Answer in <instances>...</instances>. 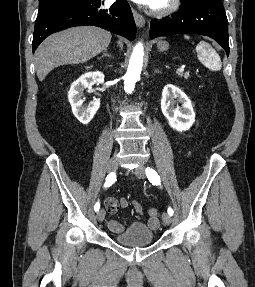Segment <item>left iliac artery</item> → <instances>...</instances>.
Instances as JSON below:
<instances>
[{"instance_id":"left-iliac-artery-1","label":"left iliac artery","mask_w":255,"mask_h":287,"mask_svg":"<svg viewBox=\"0 0 255 287\" xmlns=\"http://www.w3.org/2000/svg\"><path fill=\"white\" fill-rule=\"evenodd\" d=\"M146 176L153 185H160V177L152 168H146ZM168 214L170 216L173 215V209L171 207L168 208Z\"/></svg>"}]
</instances>
